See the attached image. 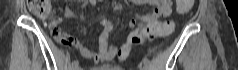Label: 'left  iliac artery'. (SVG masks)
<instances>
[{"label": "left iliac artery", "mask_w": 238, "mask_h": 70, "mask_svg": "<svg viewBox=\"0 0 238 70\" xmlns=\"http://www.w3.org/2000/svg\"><path fill=\"white\" fill-rule=\"evenodd\" d=\"M143 63L146 65V66H150L151 65V62L148 58H143Z\"/></svg>", "instance_id": "44dca946"}]
</instances>
